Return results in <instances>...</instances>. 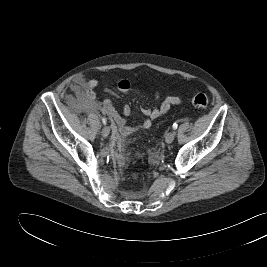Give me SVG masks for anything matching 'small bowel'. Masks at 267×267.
<instances>
[{
	"label": "small bowel",
	"mask_w": 267,
	"mask_h": 267,
	"mask_svg": "<svg viewBox=\"0 0 267 267\" xmlns=\"http://www.w3.org/2000/svg\"><path fill=\"white\" fill-rule=\"evenodd\" d=\"M98 86V81L95 79L84 80L77 77L73 84L70 86V91L77 97H80L84 104L93 110H99L107 115L113 124V130L120 136H128L138 129H148L151 127L152 122L165 114H167L172 106L180 105L182 99L178 96L162 97L158 92L155 93V99L159 102L158 106L142 108L141 113L146 117L145 120L140 122L134 127L127 124V119L122 117L116 108L112 105L109 99H104L102 102L96 101L95 89ZM118 90L123 94H128L131 91V83L127 79H123L117 84ZM122 113L126 116L130 115L131 108L124 106Z\"/></svg>",
	"instance_id": "small-bowel-1"
}]
</instances>
